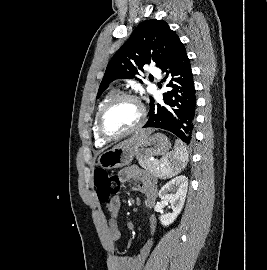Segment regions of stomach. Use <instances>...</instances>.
<instances>
[{
  "label": "stomach",
  "instance_id": "obj_1",
  "mask_svg": "<svg viewBox=\"0 0 267 270\" xmlns=\"http://www.w3.org/2000/svg\"><path fill=\"white\" fill-rule=\"evenodd\" d=\"M170 147V141L164 134L155 133L134 145L115 146L103 152L98 158V165L103 169L121 168L129 165L134 157L145 159L164 155Z\"/></svg>",
  "mask_w": 267,
  "mask_h": 270
}]
</instances>
